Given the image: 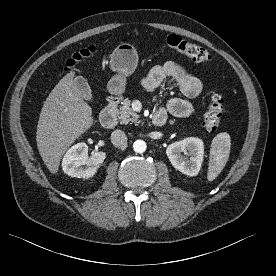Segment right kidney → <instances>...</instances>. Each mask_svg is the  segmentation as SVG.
Listing matches in <instances>:
<instances>
[{"instance_id":"right-kidney-1","label":"right kidney","mask_w":276,"mask_h":276,"mask_svg":"<svg viewBox=\"0 0 276 276\" xmlns=\"http://www.w3.org/2000/svg\"><path fill=\"white\" fill-rule=\"evenodd\" d=\"M86 143H77L64 155L62 169L71 177L89 179L93 177L106 158L105 152H95L88 158Z\"/></svg>"}]
</instances>
